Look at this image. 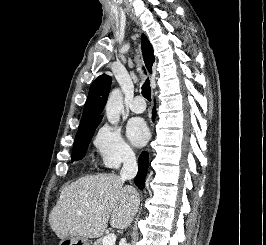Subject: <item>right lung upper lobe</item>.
Listing matches in <instances>:
<instances>
[{"label": "right lung upper lobe", "instance_id": "obj_1", "mask_svg": "<svg viewBox=\"0 0 266 245\" xmlns=\"http://www.w3.org/2000/svg\"><path fill=\"white\" fill-rule=\"evenodd\" d=\"M141 46L145 65L151 73V67L155 58L152 45L144 34L142 35ZM111 82L112 79L110 76L102 74L92 83L84 106L80 125L102 119L101 113L108 98Z\"/></svg>", "mask_w": 266, "mask_h": 245}]
</instances>
